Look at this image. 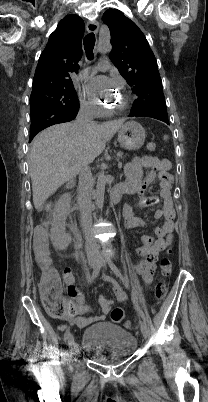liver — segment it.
Instances as JSON below:
<instances>
[{
  "label": "liver",
  "instance_id": "liver-1",
  "mask_svg": "<svg viewBox=\"0 0 208 402\" xmlns=\"http://www.w3.org/2000/svg\"><path fill=\"white\" fill-rule=\"evenodd\" d=\"M125 120H113L78 128L74 124H57L38 134L32 142L29 174L35 210L62 186L77 176L79 156L93 162L105 150Z\"/></svg>",
  "mask_w": 208,
  "mask_h": 402
}]
</instances>
